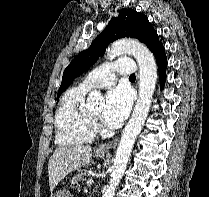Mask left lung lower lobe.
Here are the masks:
<instances>
[{"label":"left lung lower lobe","mask_w":209,"mask_h":197,"mask_svg":"<svg viewBox=\"0 0 209 197\" xmlns=\"http://www.w3.org/2000/svg\"><path fill=\"white\" fill-rule=\"evenodd\" d=\"M153 53L156 56L157 59V64H158V69H159V77H160V86L161 88H163L164 83H165V72H166V67H167V59L165 56V50L164 47L162 45V43H160L154 50Z\"/></svg>","instance_id":"obj_1"}]
</instances>
